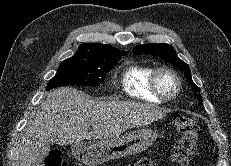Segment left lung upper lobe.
<instances>
[{"label":"left lung upper lobe","mask_w":231,"mask_h":166,"mask_svg":"<svg viewBox=\"0 0 231 166\" xmlns=\"http://www.w3.org/2000/svg\"><path fill=\"white\" fill-rule=\"evenodd\" d=\"M133 52L137 55L141 54H151L154 56H158L161 59H164L166 62L171 63L174 67L182 70L184 72L185 77L189 81L191 87L194 89L196 98L199 101H202L201 94L199 93V88L195 85L191 78V72L189 66L178 58L175 49L169 44H156V43H148L143 45H138L134 47Z\"/></svg>","instance_id":"left-lung-upper-lobe-1"}]
</instances>
